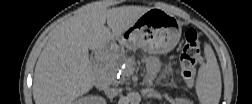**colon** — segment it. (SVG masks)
I'll return each instance as SVG.
<instances>
[{
    "instance_id": "colon-1",
    "label": "colon",
    "mask_w": 252,
    "mask_h": 104,
    "mask_svg": "<svg viewBox=\"0 0 252 104\" xmlns=\"http://www.w3.org/2000/svg\"><path fill=\"white\" fill-rule=\"evenodd\" d=\"M200 60V39L196 30L190 28L184 34V43L180 57L183 77L190 85L194 83L195 67Z\"/></svg>"
}]
</instances>
